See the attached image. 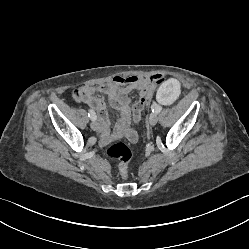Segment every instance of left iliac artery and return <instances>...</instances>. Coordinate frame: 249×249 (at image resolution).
<instances>
[{"label": "left iliac artery", "instance_id": "left-iliac-artery-1", "mask_svg": "<svg viewBox=\"0 0 249 249\" xmlns=\"http://www.w3.org/2000/svg\"><path fill=\"white\" fill-rule=\"evenodd\" d=\"M161 110H162V107H161L160 105H157V106L153 109V112L156 113V114H158V113L161 112Z\"/></svg>", "mask_w": 249, "mask_h": 249}]
</instances>
